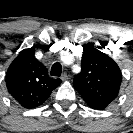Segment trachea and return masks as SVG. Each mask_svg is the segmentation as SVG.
<instances>
[{"instance_id": "1", "label": "trachea", "mask_w": 133, "mask_h": 133, "mask_svg": "<svg viewBox=\"0 0 133 133\" xmlns=\"http://www.w3.org/2000/svg\"><path fill=\"white\" fill-rule=\"evenodd\" d=\"M51 75L52 76H60L62 73V66L60 63H54L51 67Z\"/></svg>"}]
</instances>
